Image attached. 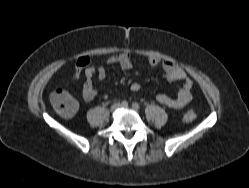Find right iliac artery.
Listing matches in <instances>:
<instances>
[{
	"label": "right iliac artery",
	"mask_w": 249,
	"mask_h": 188,
	"mask_svg": "<svg viewBox=\"0 0 249 188\" xmlns=\"http://www.w3.org/2000/svg\"><path fill=\"white\" fill-rule=\"evenodd\" d=\"M121 106L123 107H127L128 106V102L126 100L121 102Z\"/></svg>",
	"instance_id": "1"
}]
</instances>
